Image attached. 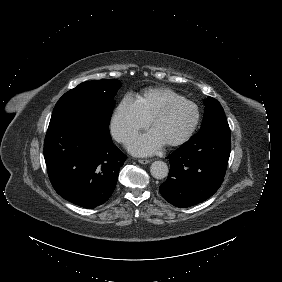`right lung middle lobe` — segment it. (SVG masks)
<instances>
[{"instance_id":"right-lung-middle-lobe-1","label":"right lung middle lobe","mask_w":282,"mask_h":282,"mask_svg":"<svg viewBox=\"0 0 282 282\" xmlns=\"http://www.w3.org/2000/svg\"><path fill=\"white\" fill-rule=\"evenodd\" d=\"M121 83L117 79L86 81L69 90L57 102L51 119L72 110H83L109 125L114 96Z\"/></svg>"}]
</instances>
